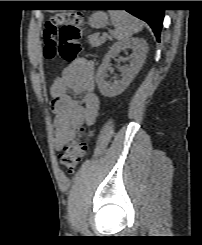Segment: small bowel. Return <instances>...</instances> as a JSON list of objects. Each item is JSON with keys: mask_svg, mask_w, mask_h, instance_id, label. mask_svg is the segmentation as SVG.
Segmentation results:
<instances>
[{"mask_svg": "<svg viewBox=\"0 0 202 245\" xmlns=\"http://www.w3.org/2000/svg\"><path fill=\"white\" fill-rule=\"evenodd\" d=\"M95 65L92 61H76L68 64L51 85L54 99L55 137L57 151L75 142L80 133L94 124L100 100L94 93ZM69 90L80 98L73 97Z\"/></svg>", "mask_w": 202, "mask_h": 245, "instance_id": "obj_1", "label": "small bowel"}]
</instances>
